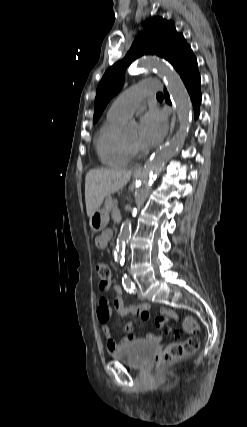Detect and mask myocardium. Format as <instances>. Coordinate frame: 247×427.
<instances>
[{
  "mask_svg": "<svg viewBox=\"0 0 247 427\" xmlns=\"http://www.w3.org/2000/svg\"><path fill=\"white\" fill-rule=\"evenodd\" d=\"M123 145L130 157H139L143 154V150L130 144L125 137H123Z\"/></svg>",
  "mask_w": 247,
  "mask_h": 427,
  "instance_id": "1",
  "label": "myocardium"
}]
</instances>
